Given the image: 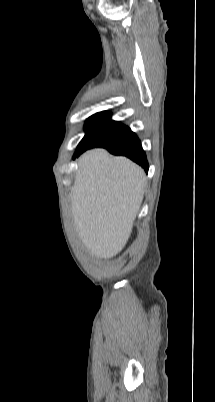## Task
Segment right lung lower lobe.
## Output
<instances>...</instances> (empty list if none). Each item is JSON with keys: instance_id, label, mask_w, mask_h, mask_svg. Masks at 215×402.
Returning <instances> with one entry per match:
<instances>
[{"instance_id": "right-lung-lower-lobe-1", "label": "right lung lower lobe", "mask_w": 215, "mask_h": 402, "mask_svg": "<svg viewBox=\"0 0 215 402\" xmlns=\"http://www.w3.org/2000/svg\"><path fill=\"white\" fill-rule=\"evenodd\" d=\"M93 147L106 148L110 153L114 155H124L137 164L141 165L146 172H148V162L145 152L142 149L141 142L137 138L136 134L129 130L121 139L115 143L109 145H81L77 147L74 158L79 156L87 149Z\"/></svg>"}]
</instances>
